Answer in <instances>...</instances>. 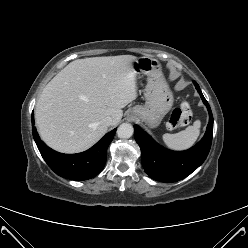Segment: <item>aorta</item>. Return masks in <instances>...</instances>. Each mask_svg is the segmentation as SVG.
<instances>
[{
	"instance_id": "762f6f07",
	"label": "aorta",
	"mask_w": 248,
	"mask_h": 248,
	"mask_svg": "<svg viewBox=\"0 0 248 248\" xmlns=\"http://www.w3.org/2000/svg\"><path fill=\"white\" fill-rule=\"evenodd\" d=\"M133 126L129 123L121 124L117 129V136L122 139H128L133 135Z\"/></svg>"
}]
</instances>
